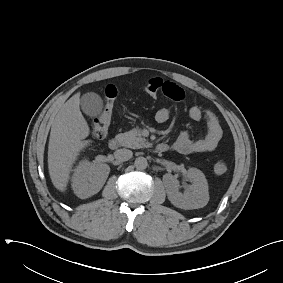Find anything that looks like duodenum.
<instances>
[{
	"mask_svg": "<svg viewBox=\"0 0 283 283\" xmlns=\"http://www.w3.org/2000/svg\"><path fill=\"white\" fill-rule=\"evenodd\" d=\"M121 146V141L120 139L118 138H112L110 141H109V148L111 150H116L118 149L119 147ZM156 150L158 152H165L168 150V145L165 144V143H159L157 146H156Z\"/></svg>",
	"mask_w": 283,
	"mask_h": 283,
	"instance_id": "410a0bca",
	"label": "duodenum"
}]
</instances>
